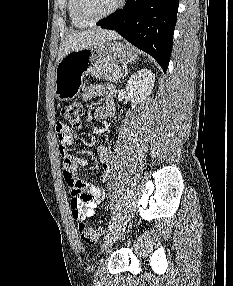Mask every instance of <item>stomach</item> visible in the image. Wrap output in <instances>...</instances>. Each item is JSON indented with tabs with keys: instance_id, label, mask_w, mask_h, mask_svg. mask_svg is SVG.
<instances>
[{
	"instance_id": "stomach-1",
	"label": "stomach",
	"mask_w": 233,
	"mask_h": 286,
	"mask_svg": "<svg viewBox=\"0 0 233 286\" xmlns=\"http://www.w3.org/2000/svg\"><path fill=\"white\" fill-rule=\"evenodd\" d=\"M136 59L133 47L116 40L71 51L56 66V97L61 101L71 100L79 93L84 76L91 71L105 64L133 63Z\"/></svg>"
}]
</instances>
